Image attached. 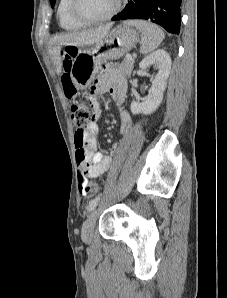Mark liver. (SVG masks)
<instances>
[{
	"label": "liver",
	"mask_w": 227,
	"mask_h": 298,
	"mask_svg": "<svg viewBox=\"0 0 227 298\" xmlns=\"http://www.w3.org/2000/svg\"><path fill=\"white\" fill-rule=\"evenodd\" d=\"M111 27L112 23L89 31L64 33L53 37L50 40V45L52 47L51 55L54 64L57 67V73L60 74L62 69V57L60 56V49L63 46L78 47L92 45L105 37Z\"/></svg>",
	"instance_id": "obj_1"
}]
</instances>
